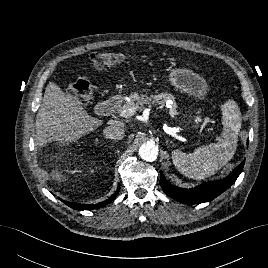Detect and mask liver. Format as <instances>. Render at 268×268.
I'll return each instance as SVG.
<instances>
[{
    "instance_id": "1",
    "label": "liver",
    "mask_w": 268,
    "mask_h": 268,
    "mask_svg": "<svg viewBox=\"0 0 268 268\" xmlns=\"http://www.w3.org/2000/svg\"><path fill=\"white\" fill-rule=\"evenodd\" d=\"M102 124L103 120L90 116L72 95L63 92L54 82H49L36 116L35 145L39 150L52 141H57L59 145H69ZM108 124L123 125L114 120ZM60 173L58 169L52 171L53 179L66 181L67 178Z\"/></svg>"
}]
</instances>
